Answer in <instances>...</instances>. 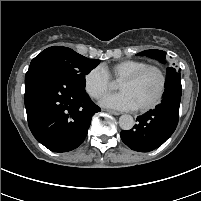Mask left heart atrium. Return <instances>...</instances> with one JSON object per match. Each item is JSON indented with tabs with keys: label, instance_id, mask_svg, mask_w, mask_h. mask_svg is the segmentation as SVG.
<instances>
[{
	"label": "left heart atrium",
	"instance_id": "obj_1",
	"mask_svg": "<svg viewBox=\"0 0 201 201\" xmlns=\"http://www.w3.org/2000/svg\"><path fill=\"white\" fill-rule=\"evenodd\" d=\"M100 103L104 107L120 111L133 110L137 108L132 98L126 92L122 91L105 96Z\"/></svg>",
	"mask_w": 201,
	"mask_h": 201
}]
</instances>
